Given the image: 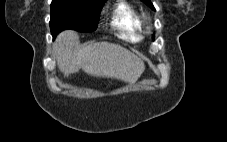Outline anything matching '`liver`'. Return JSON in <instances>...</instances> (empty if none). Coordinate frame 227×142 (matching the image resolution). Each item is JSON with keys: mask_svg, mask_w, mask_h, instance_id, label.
Returning a JSON list of instances; mask_svg holds the SVG:
<instances>
[{"mask_svg": "<svg viewBox=\"0 0 227 142\" xmlns=\"http://www.w3.org/2000/svg\"><path fill=\"white\" fill-rule=\"evenodd\" d=\"M78 35L64 31L58 35L54 53L59 70L69 76L82 69L85 73L134 84L145 70L144 63L118 44L98 42L76 49Z\"/></svg>", "mask_w": 227, "mask_h": 142, "instance_id": "obj_1", "label": "liver"}]
</instances>
